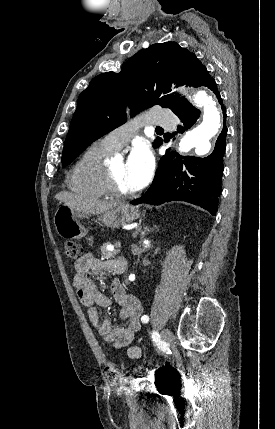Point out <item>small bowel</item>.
I'll list each match as a JSON object with an SVG mask.
<instances>
[{"label":"small bowel","mask_w":275,"mask_h":429,"mask_svg":"<svg viewBox=\"0 0 275 429\" xmlns=\"http://www.w3.org/2000/svg\"><path fill=\"white\" fill-rule=\"evenodd\" d=\"M117 262L101 261L88 253L80 257L75 263V275L73 284L77 290L80 302L87 307V315L90 322L96 327L98 333L113 344L117 349L128 347V356L132 359L140 358L142 351L138 347H129L135 333L140 328L142 305L139 299L126 292L122 284L114 280L111 291L114 300L119 304V319L124 326L114 327L111 319L100 309L108 308L112 300L110 297L97 290L90 275L105 269H115Z\"/></svg>","instance_id":"small-bowel-1"}]
</instances>
